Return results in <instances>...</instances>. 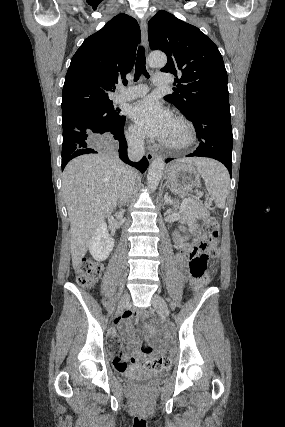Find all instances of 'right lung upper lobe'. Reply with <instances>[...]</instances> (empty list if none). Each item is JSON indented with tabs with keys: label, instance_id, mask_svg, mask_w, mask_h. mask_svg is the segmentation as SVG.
<instances>
[{
	"label": "right lung upper lobe",
	"instance_id": "cb5924a9",
	"mask_svg": "<svg viewBox=\"0 0 285 427\" xmlns=\"http://www.w3.org/2000/svg\"><path fill=\"white\" fill-rule=\"evenodd\" d=\"M140 38L137 21L119 14L85 39L65 77L62 116L112 102L109 93L131 71Z\"/></svg>",
	"mask_w": 285,
	"mask_h": 427
}]
</instances>
